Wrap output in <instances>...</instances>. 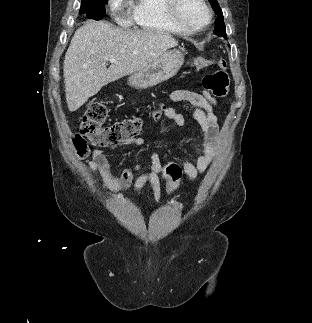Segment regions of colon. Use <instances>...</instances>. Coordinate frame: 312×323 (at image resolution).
Returning <instances> with one entry per match:
<instances>
[{
	"instance_id": "1",
	"label": "colon",
	"mask_w": 312,
	"mask_h": 323,
	"mask_svg": "<svg viewBox=\"0 0 312 323\" xmlns=\"http://www.w3.org/2000/svg\"><path fill=\"white\" fill-rule=\"evenodd\" d=\"M194 69L203 67H213V71L206 74L202 80L206 91L218 98H226L229 95V77L222 58L196 57L193 60ZM162 112V106L154 107L153 116L158 117ZM109 109L106 102L98 101L92 103L80 118L79 139L83 141H73L74 158H87L86 141L92 146L109 147L123 141L138 137L142 131V120L129 118L116 120L107 124ZM182 166L177 165L176 160H169L168 165L164 166V176L168 182L169 189L176 187L181 177L179 172Z\"/></svg>"
}]
</instances>
